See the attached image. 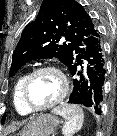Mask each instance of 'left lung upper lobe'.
I'll list each match as a JSON object with an SVG mask.
<instances>
[{
	"instance_id": "1",
	"label": "left lung upper lobe",
	"mask_w": 117,
	"mask_h": 136,
	"mask_svg": "<svg viewBox=\"0 0 117 136\" xmlns=\"http://www.w3.org/2000/svg\"><path fill=\"white\" fill-rule=\"evenodd\" d=\"M97 26L75 0H44L35 21L27 25L16 46L9 76L25 63L41 58H58L68 69L85 51Z\"/></svg>"
}]
</instances>
